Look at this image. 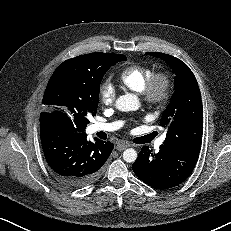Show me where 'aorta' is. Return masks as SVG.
I'll return each mask as SVG.
<instances>
[{"label":"aorta","instance_id":"762f6f07","mask_svg":"<svg viewBox=\"0 0 231 231\" xmlns=\"http://www.w3.org/2000/svg\"><path fill=\"white\" fill-rule=\"evenodd\" d=\"M140 107V102L135 94H125L119 96L116 100V108L123 112L136 111ZM123 159L127 163H133L137 159V152L133 148L126 149L123 152Z\"/></svg>","mask_w":231,"mask_h":231}]
</instances>
